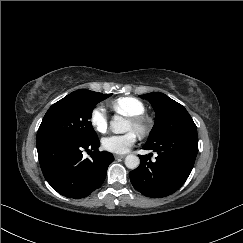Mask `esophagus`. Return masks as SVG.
<instances>
[{
    "mask_svg": "<svg viewBox=\"0 0 243 243\" xmlns=\"http://www.w3.org/2000/svg\"><path fill=\"white\" fill-rule=\"evenodd\" d=\"M114 158L115 159H122V158H125V155H117V154H115Z\"/></svg>",
    "mask_w": 243,
    "mask_h": 243,
    "instance_id": "obj_1",
    "label": "esophagus"
}]
</instances>
